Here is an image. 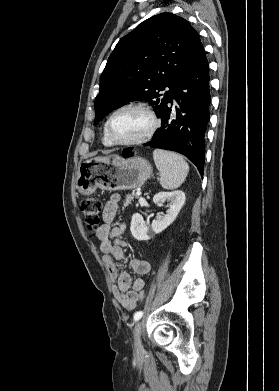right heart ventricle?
<instances>
[{
	"instance_id": "1",
	"label": "right heart ventricle",
	"mask_w": 279,
	"mask_h": 391,
	"mask_svg": "<svg viewBox=\"0 0 279 391\" xmlns=\"http://www.w3.org/2000/svg\"><path fill=\"white\" fill-rule=\"evenodd\" d=\"M102 143L104 146L106 147H111L113 146L110 141L108 140L107 136H106V133H105V126H104V131H103V138H102Z\"/></svg>"
}]
</instances>
